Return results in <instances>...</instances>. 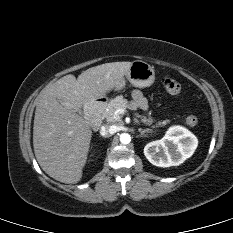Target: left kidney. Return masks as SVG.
<instances>
[{
  "label": "left kidney",
  "instance_id": "obj_1",
  "mask_svg": "<svg viewBox=\"0 0 233 233\" xmlns=\"http://www.w3.org/2000/svg\"><path fill=\"white\" fill-rule=\"evenodd\" d=\"M197 144L196 136L189 130L174 126L161 140L148 143L144 148V155L155 166H177L192 156Z\"/></svg>",
  "mask_w": 233,
  "mask_h": 233
}]
</instances>
